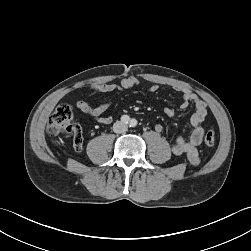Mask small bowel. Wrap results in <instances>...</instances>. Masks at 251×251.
Returning <instances> with one entry per match:
<instances>
[{"label": "small bowel", "mask_w": 251, "mask_h": 251, "mask_svg": "<svg viewBox=\"0 0 251 251\" xmlns=\"http://www.w3.org/2000/svg\"><path fill=\"white\" fill-rule=\"evenodd\" d=\"M139 84L140 81L137 77L129 76L121 79L119 83L94 85L91 88V91L94 93H122L138 86ZM158 90L159 86L156 84L148 87V92L151 94L157 93ZM175 90L182 95L180 108L186 109L190 105H193L195 112L190 119L192 130L189 137L187 139L178 137L172 142L171 150L174 155L186 156L191 164L197 165L199 163L197 147L200 145L204 134L203 123L207 116V106L206 103L191 90L182 87H176ZM111 104L112 103L108 101L99 106L92 107L85 101L80 100L76 103V106L81 112L89 115L97 123L107 125L110 124L113 120L112 116L105 114L111 107ZM164 113L169 118H174L176 116L175 110L171 107H165ZM162 129L163 127L160 124L155 126L156 132H161ZM74 147L79 151L82 148V143L78 146L74 145Z\"/></svg>", "instance_id": "small-bowel-1"}]
</instances>
